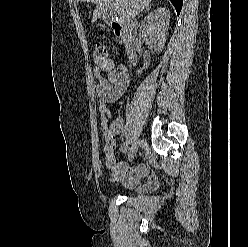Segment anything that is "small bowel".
Masks as SVG:
<instances>
[{
	"mask_svg": "<svg viewBox=\"0 0 248 247\" xmlns=\"http://www.w3.org/2000/svg\"><path fill=\"white\" fill-rule=\"evenodd\" d=\"M104 72H107V76H103ZM94 76L97 81L99 117L105 140L106 165L111 170L114 180L133 185L148 174L149 167L145 164L128 167L126 163L116 160L114 137L123 130V119L117 118L109 123L111 112L107 108V104L114 103L125 93L129 85V75L123 66H115L111 59H106L104 63L95 59Z\"/></svg>",
	"mask_w": 248,
	"mask_h": 247,
	"instance_id": "1",
	"label": "small bowel"
}]
</instances>
